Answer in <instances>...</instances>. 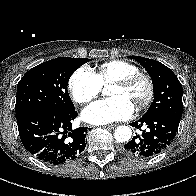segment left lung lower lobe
I'll return each mask as SVG.
<instances>
[{"instance_id": "1", "label": "left lung lower lobe", "mask_w": 196, "mask_h": 196, "mask_svg": "<svg viewBox=\"0 0 196 196\" xmlns=\"http://www.w3.org/2000/svg\"><path fill=\"white\" fill-rule=\"evenodd\" d=\"M179 122L167 115L155 114L143 116L131 123L135 128L146 127L141 134H136L124 145L127 155L147 158L153 157L166 149L176 136Z\"/></svg>"}]
</instances>
